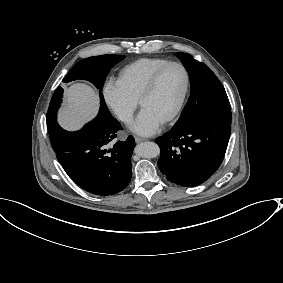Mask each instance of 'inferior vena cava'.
Returning a JSON list of instances; mask_svg holds the SVG:
<instances>
[{"mask_svg": "<svg viewBox=\"0 0 283 283\" xmlns=\"http://www.w3.org/2000/svg\"><path fill=\"white\" fill-rule=\"evenodd\" d=\"M132 114V111L127 108H123L117 111L118 118L125 123H129L132 121Z\"/></svg>", "mask_w": 283, "mask_h": 283, "instance_id": "obj_1", "label": "inferior vena cava"}]
</instances>
